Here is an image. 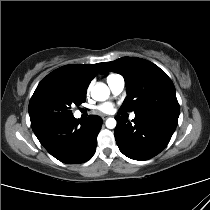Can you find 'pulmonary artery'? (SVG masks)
<instances>
[{"mask_svg": "<svg viewBox=\"0 0 210 210\" xmlns=\"http://www.w3.org/2000/svg\"><path fill=\"white\" fill-rule=\"evenodd\" d=\"M107 83H108L110 90L114 94H120L125 87L124 78L120 75H114V76L107 78ZM130 117H131V119H134L135 114L134 113L131 114Z\"/></svg>", "mask_w": 210, "mask_h": 210, "instance_id": "obj_1", "label": "pulmonary artery"}]
</instances>
